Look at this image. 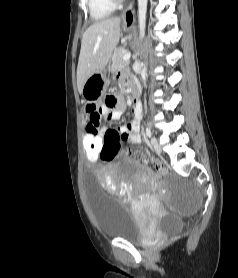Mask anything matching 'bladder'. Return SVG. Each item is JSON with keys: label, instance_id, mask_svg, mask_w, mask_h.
<instances>
[{"label": "bladder", "instance_id": "1", "mask_svg": "<svg viewBox=\"0 0 238 278\" xmlns=\"http://www.w3.org/2000/svg\"><path fill=\"white\" fill-rule=\"evenodd\" d=\"M85 175V180H96ZM86 194L99 231L106 237L142 242L147 232L131 209L117 197L102 190L99 181H85Z\"/></svg>", "mask_w": 238, "mask_h": 278}]
</instances>
